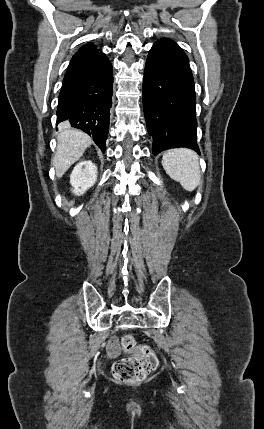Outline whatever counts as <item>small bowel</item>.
Instances as JSON below:
<instances>
[{
  "label": "small bowel",
  "instance_id": "c3829d8e",
  "mask_svg": "<svg viewBox=\"0 0 264 429\" xmlns=\"http://www.w3.org/2000/svg\"><path fill=\"white\" fill-rule=\"evenodd\" d=\"M107 351L111 357H116L119 354V344L116 337H111L107 344Z\"/></svg>",
  "mask_w": 264,
  "mask_h": 429
}]
</instances>
